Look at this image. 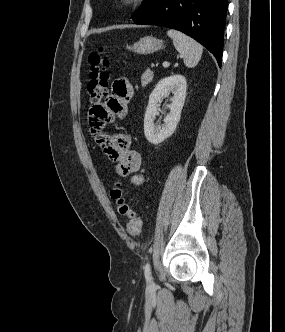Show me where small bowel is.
<instances>
[{"mask_svg":"<svg viewBox=\"0 0 285 332\" xmlns=\"http://www.w3.org/2000/svg\"><path fill=\"white\" fill-rule=\"evenodd\" d=\"M132 96L131 83L124 77L117 78L112 84V92L106 101L89 109L88 119L97 143L108 159L116 165L117 173L121 176L131 175V184L139 186L144 181L140 173L142 158L132 148L131 135L124 132L106 135L101 131L107 124L126 117Z\"/></svg>","mask_w":285,"mask_h":332,"instance_id":"c3829d8e","label":"small bowel"}]
</instances>
